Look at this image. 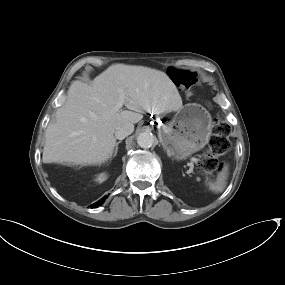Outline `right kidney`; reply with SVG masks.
Instances as JSON below:
<instances>
[{"label": "right kidney", "mask_w": 285, "mask_h": 285, "mask_svg": "<svg viewBox=\"0 0 285 285\" xmlns=\"http://www.w3.org/2000/svg\"><path fill=\"white\" fill-rule=\"evenodd\" d=\"M107 179V175L105 173H101L98 175V177L96 178V181H98L99 183H102L103 181H105Z\"/></svg>", "instance_id": "obj_1"}]
</instances>
